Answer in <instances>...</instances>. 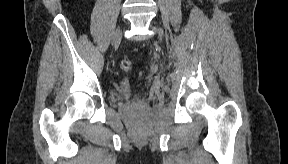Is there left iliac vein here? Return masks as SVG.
I'll return each mask as SVG.
<instances>
[{
  "label": "left iliac vein",
  "mask_w": 288,
  "mask_h": 164,
  "mask_svg": "<svg viewBox=\"0 0 288 164\" xmlns=\"http://www.w3.org/2000/svg\"><path fill=\"white\" fill-rule=\"evenodd\" d=\"M153 29L158 33L159 38L162 39L163 32L160 29H158L157 27H153Z\"/></svg>",
  "instance_id": "obj_1"
}]
</instances>
